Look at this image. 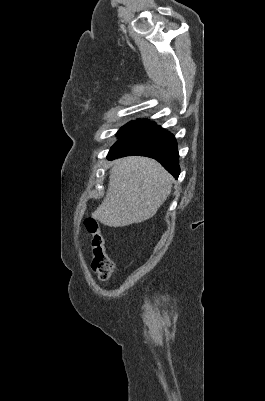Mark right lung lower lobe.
Returning a JSON list of instances; mask_svg holds the SVG:
<instances>
[{"label": "right lung lower lobe", "mask_w": 265, "mask_h": 401, "mask_svg": "<svg viewBox=\"0 0 265 401\" xmlns=\"http://www.w3.org/2000/svg\"><path fill=\"white\" fill-rule=\"evenodd\" d=\"M108 159L129 155L151 157L162 164L176 179L180 173L176 139L152 121H144L118 136Z\"/></svg>", "instance_id": "98d812e1"}]
</instances>
